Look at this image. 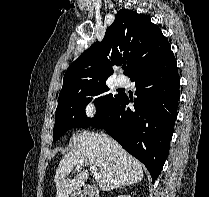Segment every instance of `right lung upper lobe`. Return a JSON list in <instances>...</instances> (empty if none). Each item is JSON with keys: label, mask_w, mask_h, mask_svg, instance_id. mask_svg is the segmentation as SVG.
Instances as JSON below:
<instances>
[{"label": "right lung upper lobe", "mask_w": 209, "mask_h": 197, "mask_svg": "<svg viewBox=\"0 0 209 197\" xmlns=\"http://www.w3.org/2000/svg\"><path fill=\"white\" fill-rule=\"evenodd\" d=\"M170 51L167 38L149 16L119 10L102 42H95L68 68L62 89L77 84L106 82L114 65L127 64L125 73L131 79Z\"/></svg>", "instance_id": "obj_1"}]
</instances>
